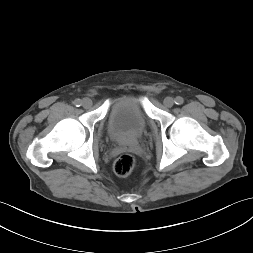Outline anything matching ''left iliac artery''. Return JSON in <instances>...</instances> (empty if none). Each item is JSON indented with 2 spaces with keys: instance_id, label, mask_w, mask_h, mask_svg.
I'll list each match as a JSON object with an SVG mask.
<instances>
[{
  "instance_id": "obj_1",
  "label": "left iliac artery",
  "mask_w": 253,
  "mask_h": 253,
  "mask_svg": "<svg viewBox=\"0 0 253 253\" xmlns=\"http://www.w3.org/2000/svg\"><path fill=\"white\" fill-rule=\"evenodd\" d=\"M175 103L177 105H181V104L184 103V99L182 97L178 96V97L175 98Z\"/></svg>"
}]
</instances>
